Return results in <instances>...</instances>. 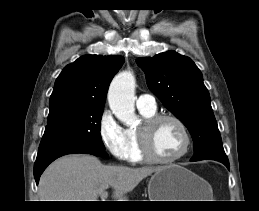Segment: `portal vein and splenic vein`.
Masks as SVG:
<instances>
[{
	"label": "portal vein and splenic vein",
	"mask_w": 259,
	"mask_h": 211,
	"mask_svg": "<svg viewBox=\"0 0 259 211\" xmlns=\"http://www.w3.org/2000/svg\"><path fill=\"white\" fill-rule=\"evenodd\" d=\"M107 196H108V193L106 191L101 192L100 194L101 201H105Z\"/></svg>",
	"instance_id": "18ae733b"
}]
</instances>
